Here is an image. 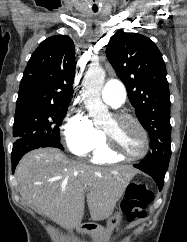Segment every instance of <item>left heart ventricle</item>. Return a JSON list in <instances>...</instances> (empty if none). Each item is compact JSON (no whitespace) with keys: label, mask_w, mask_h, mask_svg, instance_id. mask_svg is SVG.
Returning a JSON list of instances; mask_svg holds the SVG:
<instances>
[{"label":"left heart ventricle","mask_w":187,"mask_h":242,"mask_svg":"<svg viewBox=\"0 0 187 242\" xmlns=\"http://www.w3.org/2000/svg\"><path fill=\"white\" fill-rule=\"evenodd\" d=\"M103 130L113 142L124 152L137 155L143 151L144 140L138 128L130 122H116L109 117L103 125Z\"/></svg>","instance_id":"left-heart-ventricle-1"}]
</instances>
